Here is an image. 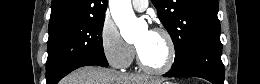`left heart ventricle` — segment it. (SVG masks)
I'll return each instance as SVG.
<instances>
[{
  "label": "left heart ventricle",
  "mask_w": 260,
  "mask_h": 84,
  "mask_svg": "<svg viewBox=\"0 0 260 84\" xmlns=\"http://www.w3.org/2000/svg\"><path fill=\"white\" fill-rule=\"evenodd\" d=\"M135 45L148 66L159 68L165 64L168 57V46L160 34L145 30L139 35Z\"/></svg>",
  "instance_id": "left-heart-ventricle-1"
}]
</instances>
